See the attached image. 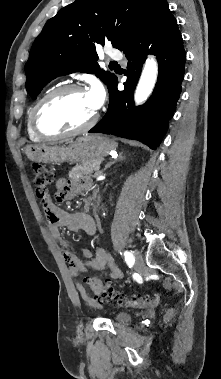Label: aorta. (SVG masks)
Returning <instances> with one entry per match:
<instances>
[{
  "label": "aorta",
  "instance_id": "aorta-1",
  "mask_svg": "<svg viewBox=\"0 0 221 379\" xmlns=\"http://www.w3.org/2000/svg\"><path fill=\"white\" fill-rule=\"evenodd\" d=\"M158 74V65L153 57H149L144 65L140 80L136 87L134 100L137 104L143 103L152 93Z\"/></svg>",
  "mask_w": 221,
  "mask_h": 379
}]
</instances>
